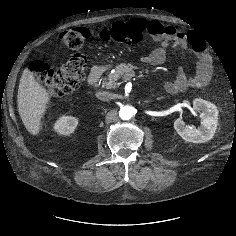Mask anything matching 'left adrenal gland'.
Instances as JSON below:
<instances>
[{
  "instance_id": "left-adrenal-gland-1",
  "label": "left adrenal gland",
  "mask_w": 236,
  "mask_h": 236,
  "mask_svg": "<svg viewBox=\"0 0 236 236\" xmlns=\"http://www.w3.org/2000/svg\"><path fill=\"white\" fill-rule=\"evenodd\" d=\"M164 97H159V98H157L156 100H161V99H163Z\"/></svg>"
}]
</instances>
